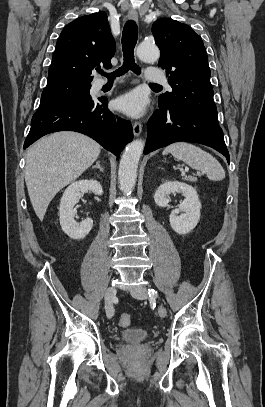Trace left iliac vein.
Returning <instances> with one entry per match:
<instances>
[{
  "instance_id": "left-iliac-vein-1",
  "label": "left iliac vein",
  "mask_w": 265,
  "mask_h": 407,
  "mask_svg": "<svg viewBox=\"0 0 265 407\" xmlns=\"http://www.w3.org/2000/svg\"><path fill=\"white\" fill-rule=\"evenodd\" d=\"M131 295L136 299H147L148 294L144 287H137L131 291ZM158 314L160 317L164 318L167 315V310L163 305L158 306Z\"/></svg>"
}]
</instances>
